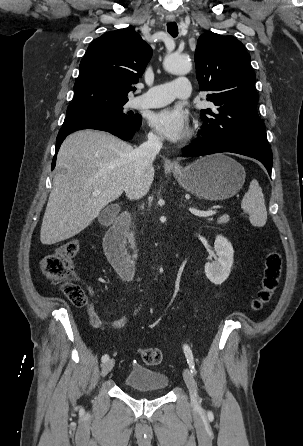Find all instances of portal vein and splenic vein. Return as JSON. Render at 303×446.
<instances>
[{"mask_svg":"<svg viewBox=\"0 0 303 446\" xmlns=\"http://www.w3.org/2000/svg\"><path fill=\"white\" fill-rule=\"evenodd\" d=\"M101 189H96L93 191V195L96 196L98 194H100ZM189 211L195 215V216H199V217H209V216H213L216 212L214 210H208V211H201V210H197L195 208H189Z\"/></svg>","mask_w":303,"mask_h":446,"instance_id":"18ae733b","label":"portal vein and splenic vein"}]
</instances>
